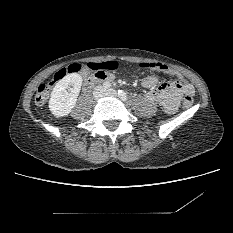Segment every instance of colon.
Returning a JSON list of instances; mask_svg holds the SVG:
<instances>
[{"label": "colon", "instance_id": "colon-1", "mask_svg": "<svg viewBox=\"0 0 233 233\" xmlns=\"http://www.w3.org/2000/svg\"><path fill=\"white\" fill-rule=\"evenodd\" d=\"M139 67L145 69H151L158 72H164L174 75V71L165 63L160 61L153 62H141ZM82 69V65L79 63L70 64L66 67L59 69L53 75V78L48 83L41 84L35 94V101L37 104H43L49 97L51 88L58 82L62 81L67 75L78 73ZM193 105V98L191 95L186 94L182 99V106L185 110L191 109Z\"/></svg>", "mask_w": 233, "mask_h": 233}]
</instances>
